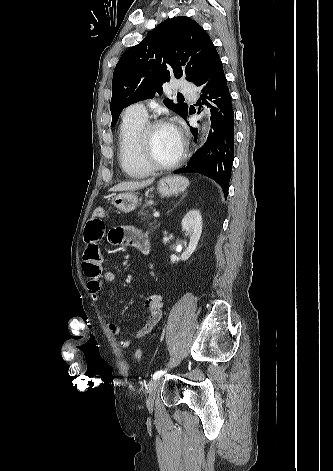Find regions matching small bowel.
<instances>
[{"instance_id": "small-bowel-1", "label": "small bowel", "mask_w": 333, "mask_h": 471, "mask_svg": "<svg viewBox=\"0 0 333 471\" xmlns=\"http://www.w3.org/2000/svg\"><path fill=\"white\" fill-rule=\"evenodd\" d=\"M102 218L103 216L99 218L92 216L86 223L84 233L85 251L82 268L89 278L87 287L95 302L102 299L103 284L116 280V274L113 271H103V257L99 242L107 237L109 243L113 245L131 246L140 250L142 243L147 240L144 232L132 226H118L107 231ZM145 306L148 309V317L144 325L135 333L136 339L149 334L160 321L164 306L163 295L159 293L150 295L145 301ZM108 329L112 334H121V328L114 322L108 323ZM119 345L122 348H128L131 345V339L122 338Z\"/></svg>"}]
</instances>
